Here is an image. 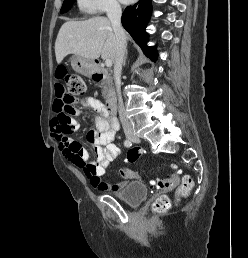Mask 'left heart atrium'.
Segmentation results:
<instances>
[{
    "mask_svg": "<svg viewBox=\"0 0 248 258\" xmlns=\"http://www.w3.org/2000/svg\"><path fill=\"white\" fill-rule=\"evenodd\" d=\"M122 1L128 3V2H131L133 0H122Z\"/></svg>",
    "mask_w": 248,
    "mask_h": 258,
    "instance_id": "39dd6f15",
    "label": "left heart atrium"
}]
</instances>
